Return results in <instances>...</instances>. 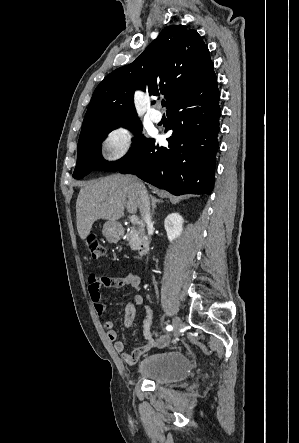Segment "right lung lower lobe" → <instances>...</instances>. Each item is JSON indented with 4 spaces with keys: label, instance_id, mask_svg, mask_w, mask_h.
<instances>
[{
    "label": "right lung lower lobe",
    "instance_id": "right-lung-lower-lobe-1",
    "mask_svg": "<svg viewBox=\"0 0 299 443\" xmlns=\"http://www.w3.org/2000/svg\"><path fill=\"white\" fill-rule=\"evenodd\" d=\"M220 94L213 73L168 109L172 135L168 147L151 140L140 156L118 170L174 195L210 194L214 186Z\"/></svg>",
    "mask_w": 299,
    "mask_h": 443
}]
</instances>
